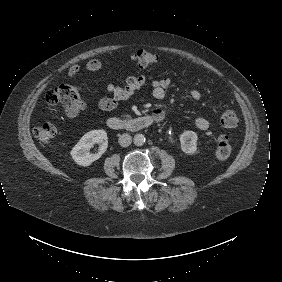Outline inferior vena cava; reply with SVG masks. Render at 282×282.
<instances>
[{"label": "inferior vena cava", "mask_w": 282, "mask_h": 282, "mask_svg": "<svg viewBox=\"0 0 282 282\" xmlns=\"http://www.w3.org/2000/svg\"><path fill=\"white\" fill-rule=\"evenodd\" d=\"M131 142H132V138L127 133L121 134L118 138V143L122 147H128L131 144Z\"/></svg>", "instance_id": "602c4592"}]
</instances>
